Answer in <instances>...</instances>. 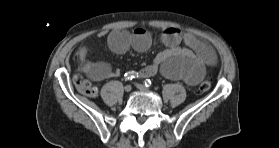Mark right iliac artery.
<instances>
[{"instance_id": "obj_1", "label": "right iliac artery", "mask_w": 279, "mask_h": 148, "mask_svg": "<svg viewBox=\"0 0 279 148\" xmlns=\"http://www.w3.org/2000/svg\"><path fill=\"white\" fill-rule=\"evenodd\" d=\"M125 81H129V80H132L133 78H136L138 77V74L134 71H129L127 73H125Z\"/></svg>"}]
</instances>
